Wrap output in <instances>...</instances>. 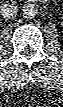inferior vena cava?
I'll return each mask as SVG.
<instances>
[{"label":"inferior vena cava","mask_w":63,"mask_h":107,"mask_svg":"<svg viewBox=\"0 0 63 107\" xmlns=\"http://www.w3.org/2000/svg\"><path fill=\"white\" fill-rule=\"evenodd\" d=\"M17 12H18V8L14 4H4L1 7V15L5 19L15 18Z\"/></svg>","instance_id":"602c4592"}]
</instances>
